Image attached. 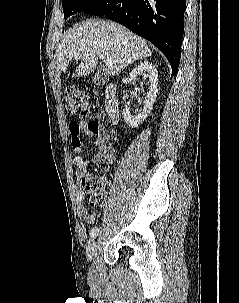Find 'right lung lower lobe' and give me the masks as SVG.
<instances>
[{
    "instance_id": "1",
    "label": "right lung lower lobe",
    "mask_w": 239,
    "mask_h": 303,
    "mask_svg": "<svg viewBox=\"0 0 239 303\" xmlns=\"http://www.w3.org/2000/svg\"><path fill=\"white\" fill-rule=\"evenodd\" d=\"M185 0H105L90 14L105 15L146 38L167 57L176 75L184 33Z\"/></svg>"
}]
</instances>
